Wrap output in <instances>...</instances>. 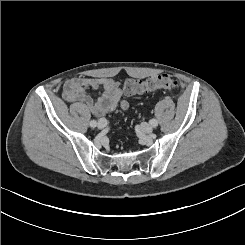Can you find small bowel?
<instances>
[{
	"instance_id": "obj_1",
	"label": "small bowel",
	"mask_w": 245,
	"mask_h": 245,
	"mask_svg": "<svg viewBox=\"0 0 245 245\" xmlns=\"http://www.w3.org/2000/svg\"><path fill=\"white\" fill-rule=\"evenodd\" d=\"M99 92L94 99L88 90ZM63 97L74 103L73 112L80 123H85L91 115L103 117L115 109L126 110L129 103L123 98V89L118 81L111 78L75 77L64 84Z\"/></svg>"
}]
</instances>
